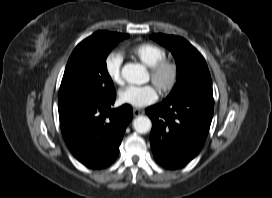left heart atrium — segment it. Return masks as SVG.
I'll list each match as a JSON object with an SVG mask.
<instances>
[{"mask_svg":"<svg viewBox=\"0 0 272 198\" xmlns=\"http://www.w3.org/2000/svg\"><path fill=\"white\" fill-rule=\"evenodd\" d=\"M158 98L157 89L151 85H129L119 92V100L122 104L140 108L154 103Z\"/></svg>","mask_w":272,"mask_h":198,"instance_id":"1","label":"left heart atrium"}]
</instances>
